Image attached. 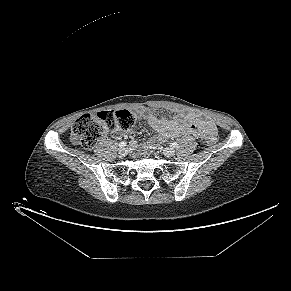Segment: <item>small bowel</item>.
I'll return each mask as SVG.
<instances>
[{
  "mask_svg": "<svg viewBox=\"0 0 291 291\" xmlns=\"http://www.w3.org/2000/svg\"><path fill=\"white\" fill-rule=\"evenodd\" d=\"M137 115L147 120L149 125L156 131L160 141L172 136L204 137L207 133L216 130L213 122L191 112L163 119L154 111L140 109L137 111ZM136 144V141L132 142L133 146Z\"/></svg>",
  "mask_w": 291,
  "mask_h": 291,
  "instance_id": "small-bowel-1",
  "label": "small bowel"
}]
</instances>
